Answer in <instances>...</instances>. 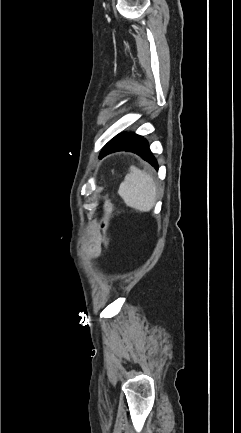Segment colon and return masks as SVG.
<instances>
[{"label":"colon","instance_id":"obj_1","mask_svg":"<svg viewBox=\"0 0 241 433\" xmlns=\"http://www.w3.org/2000/svg\"><path fill=\"white\" fill-rule=\"evenodd\" d=\"M111 206H112L111 202L107 201L106 204H105V207H106V210H107L108 213H109V210H110ZM108 220L109 221L112 220V217L109 214H108ZM109 245L112 246V242L111 241L109 242Z\"/></svg>","mask_w":241,"mask_h":433}]
</instances>
